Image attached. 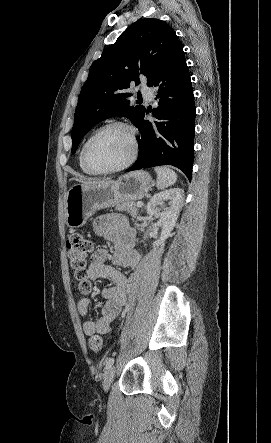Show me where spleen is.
I'll return each instance as SVG.
<instances>
[{"instance_id":"1","label":"spleen","mask_w":271,"mask_h":443,"mask_svg":"<svg viewBox=\"0 0 271 443\" xmlns=\"http://www.w3.org/2000/svg\"><path fill=\"white\" fill-rule=\"evenodd\" d=\"M157 174L156 188L158 190H165L169 186H173L177 180V176L170 168H155Z\"/></svg>"}]
</instances>
